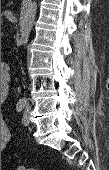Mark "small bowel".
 Segmentation results:
<instances>
[{
  "label": "small bowel",
  "mask_w": 109,
  "mask_h": 170,
  "mask_svg": "<svg viewBox=\"0 0 109 170\" xmlns=\"http://www.w3.org/2000/svg\"><path fill=\"white\" fill-rule=\"evenodd\" d=\"M10 140V132L5 121H1V148L6 147Z\"/></svg>",
  "instance_id": "small-bowel-1"
}]
</instances>
